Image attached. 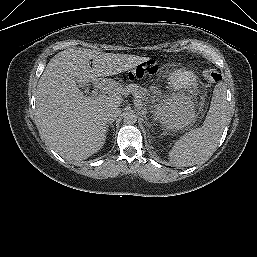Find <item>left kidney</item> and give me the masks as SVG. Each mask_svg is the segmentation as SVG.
<instances>
[{"label": "left kidney", "instance_id": "left-kidney-1", "mask_svg": "<svg viewBox=\"0 0 257 257\" xmlns=\"http://www.w3.org/2000/svg\"><path fill=\"white\" fill-rule=\"evenodd\" d=\"M154 116L169 130L183 129L195 121L193 104L182 95H175L156 105Z\"/></svg>", "mask_w": 257, "mask_h": 257}]
</instances>
